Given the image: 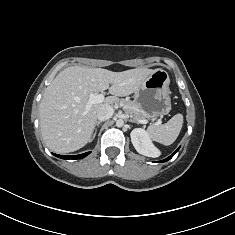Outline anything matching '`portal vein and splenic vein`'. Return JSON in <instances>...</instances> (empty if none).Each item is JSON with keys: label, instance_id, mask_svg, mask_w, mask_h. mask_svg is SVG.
<instances>
[{"label": "portal vein and splenic vein", "instance_id": "18ae733b", "mask_svg": "<svg viewBox=\"0 0 235 235\" xmlns=\"http://www.w3.org/2000/svg\"><path fill=\"white\" fill-rule=\"evenodd\" d=\"M104 101V95L91 93L89 95V101L86 105L85 113H87L92 104L102 103ZM139 123L146 124L147 120H139Z\"/></svg>", "mask_w": 235, "mask_h": 235}]
</instances>
